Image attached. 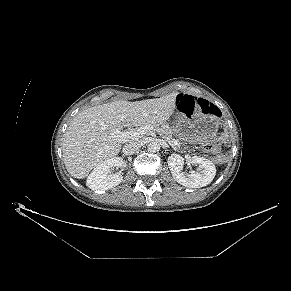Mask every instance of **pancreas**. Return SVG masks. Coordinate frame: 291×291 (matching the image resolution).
Returning <instances> with one entry per match:
<instances>
[{
  "label": "pancreas",
  "mask_w": 291,
  "mask_h": 291,
  "mask_svg": "<svg viewBox=\"0 0 291 291\" xmlns=\"http://www.w3.org/2000/svg\"><path fill=\"white\" fill-rule=\"evenodd\" d=\"M142 126H151L156 130L162 138L173 145V130L166 121L147 122Z\"/></svg>",
  "instance_id": "obj_1"
}]
</instances>
